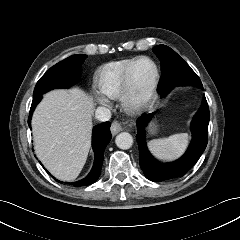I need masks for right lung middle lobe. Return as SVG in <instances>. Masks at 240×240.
<instances>
[{
	"instance_id": "dd1d6c3e",
	"label": "right lung middle lobe",
	"mask_w": 240,
	"mask_h": 240,
	"mask_svg": "<svg viewBox=\"0 0 240 240\" xmlns=\"http://www.w3.org/2000/svg\"><path fill=\"white\" fill-rule=\"evenodd\" d=\"M86 57L84 54L72 55L50 68L37 82L33 97L55 88H68L74 84Z\"/></svg>"
}]
</instances>
